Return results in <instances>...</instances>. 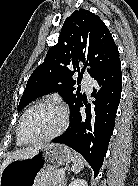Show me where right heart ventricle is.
Here are the masks:
<instances>
[{
    "label": "right heart ventricle",
    "mask_w": 138,
    "mask_h": 186,
    "mask_svg": "<svg viewBox=\"0 0 138 186\" xmlns=\"http://www.w3.org/2000/svg\"><path fill=\"white\" fill-rule=\"evenodd\" d=\"M17 144H18V146H22V145H24V143L23 142H21L20 140H19V138L17 137Z\"/></svg>",
    "instance_id": "right-heart-ventricle-1"
}]
</instances>
